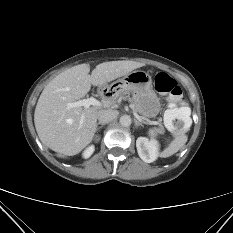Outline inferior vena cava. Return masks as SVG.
Here are the masks:
<instances>
[{"mask_svg":"<svg viewBox=\"0 0 233 233\" xmlns=\"http://www.w3.org/2000/svg\"><path fill=\"white\" fill-rule=\"evenodd\" d=\"M117 116V112L115 110H102L98 113L99 123H108L114 120Z\"/></svg>","mask_w":233,"mask_h":233,"instance_id":"1","label":"inferior vena cava"}]
</instances>
